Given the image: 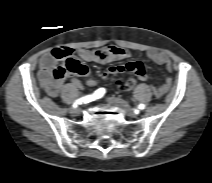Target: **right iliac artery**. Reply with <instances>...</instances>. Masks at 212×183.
<instances>
[{"label":"right iliac artery","instance_id":"1","mask_svg":"<svg viewBox=\"0 0 212 183\" xmlns=\"http://www.w3.org/2000/svg\"><path fill=\"white\" fill-rule=\"evenodd\" d=\"M104 94H105V89L104 88H99L93 94L84 96V97L76 100L74 102V104H73V107L76 108L80 104L89 103L91 101L97 100V99L103 97Z\"/></svg>","mask_w":212,"mask_h":183}]
</instances>
